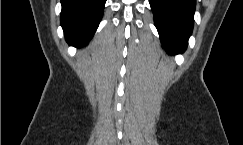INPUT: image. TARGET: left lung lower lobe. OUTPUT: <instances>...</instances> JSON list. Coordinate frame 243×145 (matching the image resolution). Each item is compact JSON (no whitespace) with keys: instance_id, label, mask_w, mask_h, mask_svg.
I'll use <instances>...</instances> for the list:
<instances>
[{"instance_id":"obj_1","label":"left lung lower lobe","mask_w":243,"mask_h":145,"mask_svg":"<svg viewBox=\"0 0 243 145\" xmlns=\"http://www.w3.org/2000/svg\"><path fill=\"white\" fill-rule=\"evenodd\" d=\"M150 6L165 50L183 53L193 30L196 0H150Z\"/></svg>"}]
</instances>
